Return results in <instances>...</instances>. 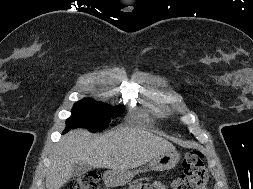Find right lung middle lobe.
<instances>
[{"mask_svg": "<svg viewBox=\"0 0 253 189\" xmlns=\"http://www.w3.org/2000/svg\"><path fill=\"white\" fill-rule=\"evenodd\" d=\"M123 111L122 106L104 108L100 103L83 99L74 104L72 115L66 120V129L63 133L73 128H87L92 132L106 129L111 119L119 116Z\"/></svg>", "mask_w": 253, "mask_h": 189, "instance_id": "obj_1", "label": "right lung middle lobe"}]
</instances>
